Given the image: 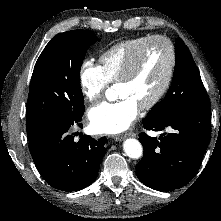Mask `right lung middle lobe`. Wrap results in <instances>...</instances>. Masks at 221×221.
Listing matches in <instances>:
<instances>
[{
    "instance_id": "right-lung-middle-lobe-1",
    "label": "right lung middle lobe",
    "mask_w": 221,
    "mask_h": 221,
    "mask_svg": "<svg viewBox=\"0 0 221 221\" xmlns=\"http://www.w3.org/2000/svg\"><path fill=\"white\" fill-rule=\"evenodd\" d=\"M99 39L89 30L59 33L46 45L32 74L26 130L32 140L45 125L85 111L80 69L87 49Z\"/></svg>"
}]
</instances>
